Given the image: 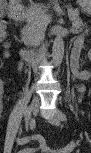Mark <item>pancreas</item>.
<instances>
[{"label": "pancreas", "mask_w": 91, "mask_h": 153, "mask_svg": "<svg viewBox=\"0 0 91 153\" xmlns=\"http://www.w3.org/2000/svg\"><path fill=\"white\" fill-rule=\"evenodd\" d=\"M48 7L35 6L26 16V27L22 30V41L26 45H35L41 34L44 33V22L46 17V10ZM70 20L73 23L74 30L82 29L83 22L78 17V12L68 10ZM42 39V37H40Z\"/></svg>", "instance_id": "pancreas-1"}]
</instances>
